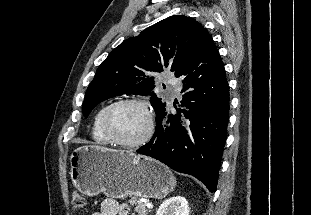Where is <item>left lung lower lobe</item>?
Listing matches in <instances>:
<instances>
[{"instance_id":"left-lung-lower-lobe-1","label":"left lung lower lobe","mask_w":311,"mask_h":215,"mask_svg":"<svg viewBox=\"0 0 311 215\" xmlns=\"http://www.w3.org/2000/svg\"><path fill=\"white\" fill-rule=\"evenodd\" d=\"M183 82V109L166 105L157 113L155 133L137 152L190 174L216 191L226 141L229 88L222 59L210 35L175 73Z\"/></svg>"}]
</instances>
